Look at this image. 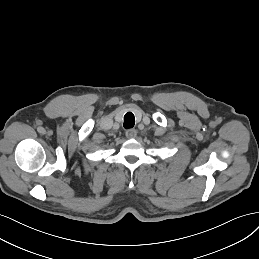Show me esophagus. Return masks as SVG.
Listing matches in <instances>:
<instances>
[{
    "mask_svg": "<svg viewBox=\"0 0 259 259\" xmlns=\"http://www.w3.org/2000/svg\"><path fill=\"white\" fill-rule=\"evenodd\" d=\"M136 135H137V131H136L135 129H128V130L126 131V137H127L128 139H133V138L136 137Z\"/></svg>",
    "mask_w": 259,
    "mask_h": 259,
    "instance_id": "esophagus-1",
    "label": "esophagus"
}]
</instances>
